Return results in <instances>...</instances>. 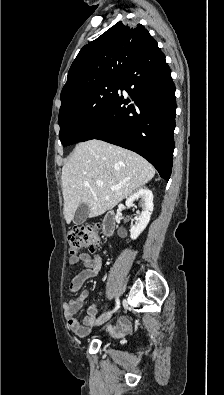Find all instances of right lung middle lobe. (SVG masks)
I'll list each match as a JSON object with an SVG mask.
<instances>
[{"mask_svg":"<svg viewBox=\"0 0 224 395\" xmlns=\"http://www.w3.org/2000/svg\"><path fill=\"white\" fill-rule=\"evenodd\" d=\"M121 78L90 85L61 100L58 122L63 146L83 139L96 118L109 106L117 94Z\"/></svg>","mask_w":224,"mask_h":395,"instance_id":"dd1d6c3e","label":"right lung middle lobe"}]
</instances>
